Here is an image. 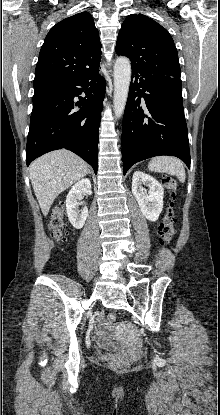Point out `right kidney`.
<instances>
[{
  "label": "right kidney",
  "mask_w": 220,
  "mask_h": 415,
  "mask_svg": "<svg viewBox=\"0 0 220 415\" xmlns=\"http://www.w3.org/2000/svg\"><path fill=\"white\" fill-rule=\"evenodd\" d=\"M91 195V182L89 179L84 178L79 180L72 186L66 197V212L70 223L76 229H81L88 216V209L85 207L81 210L78 209L79 201L82 199V194Z\"/></svg>",
  "instance_id": "ca27d5eb"
}]
</instances>
